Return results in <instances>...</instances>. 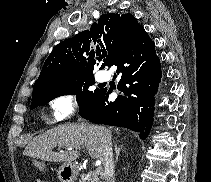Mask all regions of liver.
<instances>
[{
  "mask_svg": "<svg viewBox=\"0 0 211 182\" xmlns=\"http://www.w3.org/2000/svg\"><path fill=\"white\" fill-rule=\"evenodd\" d=\"M104 132L111 139L112 130L106 127L87 124L60 125L33 138L23 154L43 161L72 163L80 153L68 148L85 146L92 158L102 161ZM56 146L67 148V150L54 152L53 149Z\"/></svg>",
  "mask_w": 211,
  "mask_h": 182,
  "instance_id": "1",
  "label": "liver"
}]
</instances>
